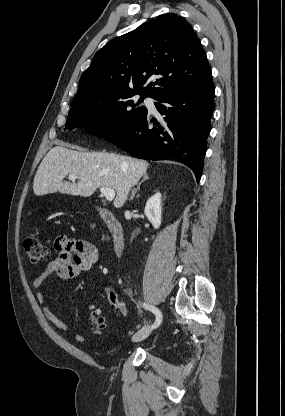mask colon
I'll return each instance as SVG.
<instances>
[{
  "instance_id": "1",
  "label": "colon",
  "mask_w": 285,
  "mask_h": 416,
  "mask_svg": "<svg viewBox=\"0 0 285 416\" xmlns=\"http://www.w3.org/2000/svg\"><path fill=\"white\" fill-rule=\"evenodd\" d=\"M24 249L28 260L32 264H38L47 260L50 256L48 247L36 236H29L24 241ZM107 298L113 308L122 315L127 314V308L124 303L119 300L115 292L111 289L106 290ZM89 317L92 323L93 330H102L106 326L104 317L101 315L99 309L95 307L90 308Z\"/></svg>"
}]
</instances>
